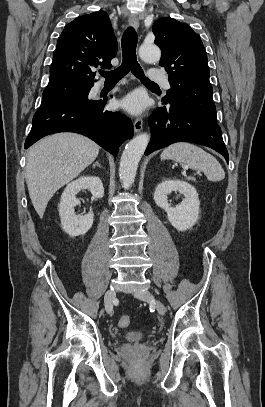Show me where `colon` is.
I'll list each match as a JSON object with an SVG mask.
<instances>
[{"label":"colon","instance_id":"5ec220e1","mask_svg":"<svg viewBox=\"0 0 265 407\" xmlns=\"http://www.w3.org/2000/svg\"><path fill=\"white\" fill-rule=\"evenodd\" d=\"M130 324V316L129 315H121L118 319V326L120 328H126Z\"/></svg>","mask_w":265,"mask_h":407}]
</instances>
